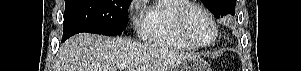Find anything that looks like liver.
Segmentation results:
<instances>
[{"label": "liver", "instance_id": "liver-1", "mask_svg": "<svg viewBox=\"0 0 301 71\" xmlns=\"http://www.w3.org/2000/svg\"><path fill=\"white\" fill-rule=\"evenodd\" d=\"M190 55L124 37L78 34L60 48L57 71H169Z\"/></svg>", "mask_w": 301, "mask_h": 71}]
</instances>
